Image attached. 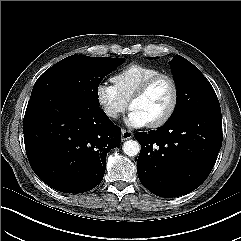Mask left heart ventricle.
<instances>
[{"mask_svg": "<svg viewBox=\"0 0 241 241\" xmlns=\"http://www.w3.org/2000/svg\"><path fill=\"white\" fill-rule=\"evenodd\" d=\"M173 96L169 81L162 79L141 98L131 104V110L138 112L148 123L160 118L169 108Z\"/></svg>", "mask_w": 241, "mask_h": 241, "instance_id": "1", "label": "left heart ventricle"}]
</instances>
